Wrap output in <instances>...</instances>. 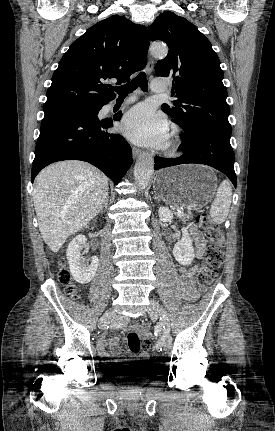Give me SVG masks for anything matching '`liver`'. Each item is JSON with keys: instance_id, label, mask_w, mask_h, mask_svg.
<instances>
[{"instance_id": "obj_1", "label": "liver", "mask_w": 275, "mask_h": 431, "mask_svg": "<svg viewBox=\"0 0 275 431\" xmlns=\"http://www.w3.org/2000/svg\"><path fill=\"white\" fill-rule=\"evenodd\" d=\"M108 190V178L83 161L57 162L38 174L34 207L41 236L53 252L99 214Z\"/></svg>"}]
</instances>
